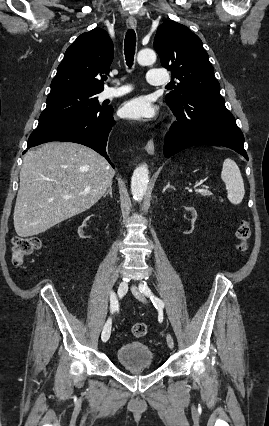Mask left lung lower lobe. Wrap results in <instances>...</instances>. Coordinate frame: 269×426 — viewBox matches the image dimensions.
<instances>
[{
	"instance_id": "0a47b994",
	"label": "left lung lower lobe",
	"mask_w": 269,
	"mask_h": 426,
	"mask_svg": "<svg viewBox=\"0 0 269 426\" xmlns=\"http://www.w3.org/2000/svg\"><path fill=\"white\" fill-rule=\"evenodd\" d=\"M177 121L166 134L164 155L170 157L197 145L225 146L248 160L244 136L217 91H199L169 106Z\"/></svg>"
}]
</instances>
